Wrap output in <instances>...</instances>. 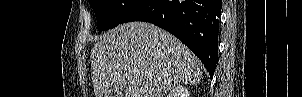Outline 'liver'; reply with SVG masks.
Listing matches in <instances>:
<instances>
[{
    "label": "liver",
    "mask_w": 302,
    "mask_h": 97,
    "mask_svg": "<svg viewBox=\"0 0 302 97\" xmlns=\"http://www.w3.org/2000/svg\"><path fill=\"white\" fill-rule=\"evenodd\" d=\"M95 97H164L194 85L202 64L179 39L145 22L124 23L99 37L90 53ZM124 92V94H123Z\"/></svg>",
    "instance_id": "1"
}]
</instances>
